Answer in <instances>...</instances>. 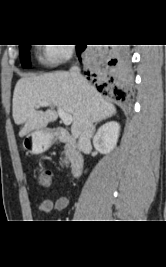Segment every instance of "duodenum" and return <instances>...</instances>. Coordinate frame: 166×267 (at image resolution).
<instances>
[{"label": "duodenum", "instance_id": "duodenum-1", "mask_svg": "<svg viewBox=\"0 0 166 267\" xmlns=\"http://www.w3.org/2000/svg\"><path fill=\"white\" fill-rule=\"evenodd\" d=\"M52 140L66 144L70 160V174L74 178L80 176L84 166V159L78 151L76 139L66 129L54 128L52 130Z\"/></svg>", "mask_w": 166, "mask_h": 267}]
</instances>
